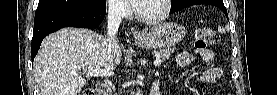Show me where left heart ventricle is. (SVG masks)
Here are the masks:
<instances>
[{"instance_id": "b2bd125f", "label": "left heart ventricle", "mask_w": 277, "mask_h": 95, "mask_svg": "<svg viewBox=\"0 0 277 95\" xmlns=\"http://www.w3.org/2000/svg\"><path fill=\"white\" fill-rule=\"evenodd\" d=\"M139 13L144 17H153L161 14L164 9L161 0H142L137 4Z\"/></svg>"}]
</instances>
